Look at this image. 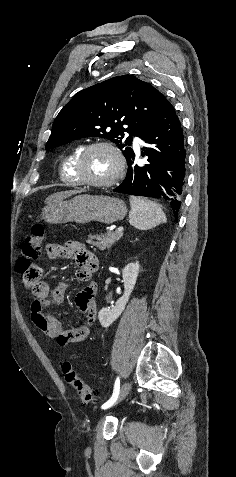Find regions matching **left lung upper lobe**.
<instances>
[{"instance_id":"1","label":"left lung upper lobe","mask_w":236,"mask_h":477,"mask_svg":"<svg viewBox=\"0 0 236 477\" xmlns=\"http://www.w3.org/2000/svg\"><path fill=\"white\" fill-rule=\"evenodd\" d=\"M162 94L149 83L122 75L74 95L57 115L45 149L84 137L117 144L126 160L134 153L133 136L142 138L158 114ZM129 137L124 140L125 133Z\"/></svg>"}]
</instances>
